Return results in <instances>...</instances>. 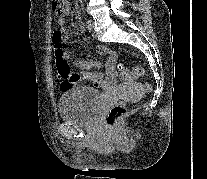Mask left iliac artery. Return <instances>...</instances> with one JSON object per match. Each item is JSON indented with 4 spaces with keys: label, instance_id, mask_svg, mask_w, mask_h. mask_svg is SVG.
I'll use <instances>...</instances> for the list:
<instances>
[{
    "label": "left iliac artery",
    "instance_id": "obj_1",
    "mask_svg": "<svg viewBox=\"0 0 207 179\" xmlns=\"http://www.w3.org/2000/svg\"><path fill=\"white\" fill-rule=\"evenodd\" d=\"M88 23H89V22L87 21V22H86V24H87V27H88Z\"/></svg>",
    "mask_w": 207,
    "mask_h": 179
}]
</instances>
